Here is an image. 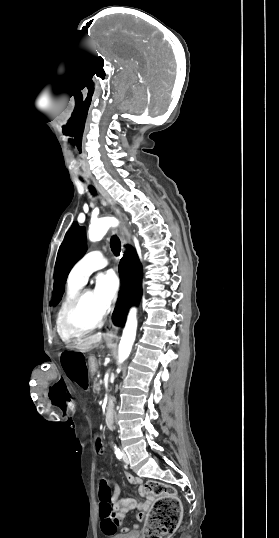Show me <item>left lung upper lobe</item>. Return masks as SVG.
Returning a JSON list of instances; mask_svg holds the SVG:
<instances>
[{
  "mask_svg": "<svg viewBox=\"0 0 279 538\" xmlns=\"http://www.w3.org/2000/svg\"><path fill=\"white\" fill-rule=\"evenodd\" d=\"M86 250V229L74 222L66 233L58 252L55 265L53 300L50 306L56 305L61 300L67 276L74 264L84 256Z\"/></svg>",
  "mask_w": 279,
  "mask_h": 538,
  "instance_id": "obj_1",
  "label": "left lung upper lobe"
}]
</instances>
